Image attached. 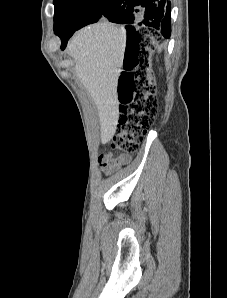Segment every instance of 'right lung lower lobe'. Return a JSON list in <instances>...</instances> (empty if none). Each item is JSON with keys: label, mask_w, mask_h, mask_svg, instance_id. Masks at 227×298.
Returning a JSON list of instances; mask_svg holds the SVG:
<instances>
[{"label": "right lung lower lobe", "mask_w": 227, "mask_h": 298, "mask_svg": "<svg viewBox=\"0 0 227 298\" xmlns=\"http://www.w3.org/2000/svg\"><path fill=\"white\" fill-rule=\"evenodd\" d=\"M171 4L167 0H104L77 27V29L58 35L62 40L61 49L67 45L73 33L101 19L118 24H135L155 28L165 38L171 35ZM128 41L135 34L134 27L127 25Z\"/></svg>", "instance_id": "98d812e1"}]
</instances>
